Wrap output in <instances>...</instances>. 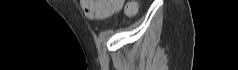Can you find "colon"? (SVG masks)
I'll list each match as a JSON object with an SVG mask.
<instances>
[{
    "label": "colon",
    "mask_w": 238,
    "mask_h": 70,
    "mask_svg": "<svg viewBox=\"0 0 238 70\" xmlns=\"http://www.w3.org/2000/svg\"><path fill=\"white\" fill-rule=\"evenodd\" d=\"M125 0H81L82 8L88 18L103 19L111 16L113 12H120ZM138 8L137 1L127 3V13H133Z\"/></svg>",
    "instance_id": "5ec220e1"
}]
</instances>
